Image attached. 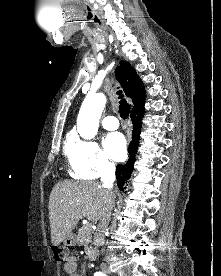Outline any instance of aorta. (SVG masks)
I'll return each mask as SVG.
<instances>
[{"label":"aorta","mask_w":221,"mask_h":276,"mask_svg":"<svg viewBox=\"0 0 221 276\" xmlns=\"http://www.w3.org/2000/svg\"><path fill=\"white\" fill-rule=\"evenodd\" d=\"M105 104L106 97L101 93L85 98L77 118V130L82 138L90 140L95 137Z\"/></svg>","instance_id":"762f6f07"}]
</instances>
